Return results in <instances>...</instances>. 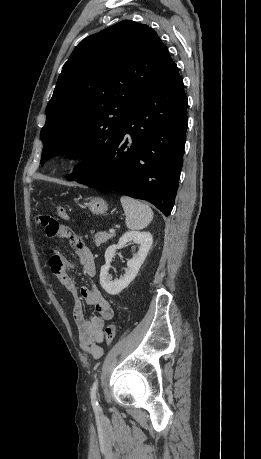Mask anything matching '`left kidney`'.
<instances>
[{"mask_svg":"<svg viewBox=\"0 0 261 459\" xmlns=\"http://www.w3.org/2000/svg\"><path fill=\"white\" fill-rule=\"evenodd\" d=\"M139 244L138 252L128 260L124 276L120 279L112 280L109 274L110 263L116 250L122 248L127 243ZM153 237L149 232L130 231L120 237L117 244L111 245L105 252V264L100 271V284L102 288L110 295H117L134 280L138 271L146 259V256L152 246Z\"/></svg>","mask_w":261,"mask_h":459,"instance_id":"obj_1","label":"left kidney"}]
</instances>
